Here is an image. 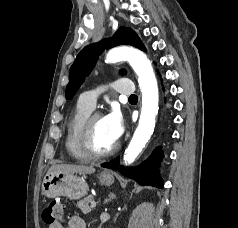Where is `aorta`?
<instances>
[{
    "instance_id": "762f6f07",
    "label": "aorta",
    "mask_w": 238,
    "mask_h": 228,
    "mask_svg": "<svg viewBox=\"0 0 238 228\" xmlns=\"http://www.w3.org/2000/svg\"><path fill=\"white\" fill-rule=\"evenodd\" d=\"M127 61L138 76L142 93V108L138 126L125 150L124 161L133 163L153 134L155 118L158 113L159 93L152 64L147 56L133 47H116L107 55L106 63Z\"/></svg>"
}]
</instances>
